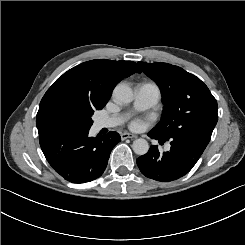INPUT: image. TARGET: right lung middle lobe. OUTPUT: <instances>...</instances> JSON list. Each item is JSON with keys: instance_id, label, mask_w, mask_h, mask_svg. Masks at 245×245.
<instances>
[{"instance_id": "1", "label": "right lung middle lobe", "mask_w": 245, "mask_h": 245, "mask_svg": "<svg viewBox=\"0 0 245 245\" xmlns=\"http://www.w3.org/2000/svg\"><path fill=\"white\" fill-rule=\"evenodd\" d=\"M102 107L94 106L87 101H62L54 109L53 116L57 130L90 129L94 110Z\"/></svg>"}]
</instances>
